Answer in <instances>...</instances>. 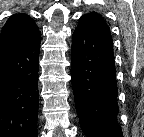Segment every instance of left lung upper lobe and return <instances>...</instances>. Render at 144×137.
<instances>
[{"instance_id": "5c2ea615", "label": "left lung upper lobe", "mask_w": 144, "mask_h": 137, "mask_svg": "<svg viewBox=\"0 0 144 137\" xmlns=\"http://www.w3.org/2000/svg\"><path fill=\"white\" fill-rule=\"evenodd\" d=\"M80 20L94 25L99 29H105L110 31L105 19L100 14H97L95 12H90L89 14L82 16Z\"/></svg>"}]
</instances>
